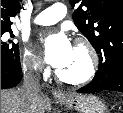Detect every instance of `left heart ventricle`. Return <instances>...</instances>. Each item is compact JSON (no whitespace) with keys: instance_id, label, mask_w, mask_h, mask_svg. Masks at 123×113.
Returning a JSON list of instances; mask_svg holds the SVG:
<instances>
[{"instance_id":"1","label":"left heart ventricle","mask_w":123,"mask_h":113,"mask_svg":"<svg viewBox=\"0 0 123 113\" xmlns=\"http://www.w3.org/2000/svg\"><path fill=\"white\" fill-rule=\"evenodd\" d=\"M87 69V56L86 53L77 48H73V53L70 60L59 71L65 76H79L82 75Z\"/></svg>"}]
</instances>
